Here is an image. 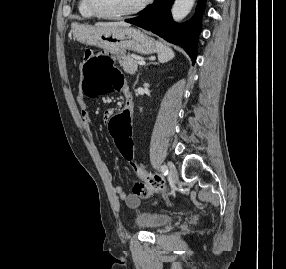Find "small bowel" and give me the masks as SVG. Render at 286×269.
I'll return each instance as SVG.
<instances>
[{
    "label": "small bowel",
    "instance_id": "small-bowel-1",
    "mask_svg": "<svg viewBox=\"0 0 286 269\" xmlns=\"http://www.w3.org/2000/svg\"><path fill=\"white\" fill-rule=\"evenodd\" d=\"M122 89L126 97L125 107H127V111H133L134 102L132 99L131 92L126 87H123ZM79 104L81 106V121L83 125L85 126V128L90 130L91 129V117H90L89 111L86 108V104L82 98H79ZM114 112H115L114 108H106V111H100L101 123H108L109 121L108 117L111 115V113H114ZM146 173L147 172L143 168H140V175H141L142 180H144ZM107 177L110 181L112 180V174L110 172H107ZM113 192L118 199L124 201L126 205L130 208H137L140 205L142 199L144 198V197L142 198L137 195H128L122 186H115L113 188ZM148 197L149 196H146L145 198H148Z\"/></svg>",
    "mask_w": 286,
    "mask_h": 269
}]
</instances>
